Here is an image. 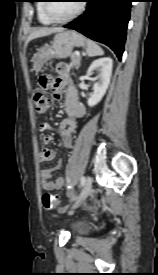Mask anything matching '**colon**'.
<instances>
[{"label":"colon","mask_w":158,"mask_h":275,"mask_svg":"<svg viewBox=\"0 0 158 275\" xmlns=\"http://www.w3.org/2000/svg\"><path fill=\"white\" fill-rule=\"evenodd\" d=\"M39 87L34 91L33 100L35 104L36 113L39 115L45 114L51 107L54 95L48 90L49 80L41 77L38 81ZM42 204L46 210L61 209L59 199L50 193L42 195Z\"/></svg>","instance_id":"colon-1"}]
</instances>
